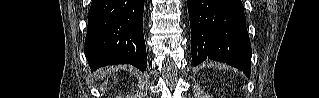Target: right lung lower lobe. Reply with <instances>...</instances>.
<instances>
[{"label":"right lung lower lobe","instance_id":"right-lung-lower-lobe-1","mask_svg":"<svg viewBox=\"0 0 319 98\" xmlns=\"http://www.w3.org/2000/svg\"><path fill=\"white\" fill-rule=\"evenodd\" d=\"M143 11L144 0H92L84 48L92 71L119 63L146 69Z\"/></svg>","mask_w":319,"mask_h":98}]
</instances>
